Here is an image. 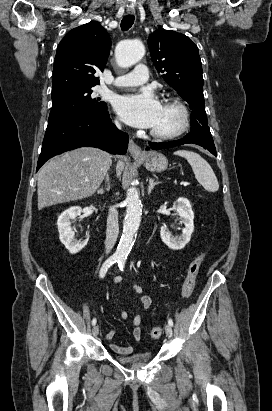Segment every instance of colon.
<instances>
[{"label":"colon","instance_id":"colon-1","mask_svg":"<svg viewBox=\"0 0 272 411\" xmlns=\"http://www.w3.org/2000/svg\"><path fill=\"white\" fill-rule=\"evenodd\" d=\"M205 259H206L205 255H200L196 257L194 260H192L191 263L189 264L184 282L182 284V289H181V295L183 298L187 299L192 295L197 275ZM162 333H163L162 327L157 326L151 329L150 335L152 338L157 339L162 336Z\"/></svg>","mask_w":272,"mask_h":411}]
</instances>
